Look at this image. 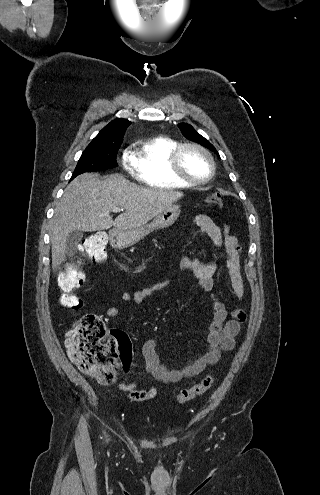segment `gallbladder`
<instances>
[{
	"mask_svg": "<svg viewBox=\"0 0 320 495\" xmlns=\"http://www.w3.org/2000/svg\"><path fill=\"white\" fill-rule=\"evenodd\" d=\"M82 238H83V233L80 230H75L69 233L66 240V249H67V254L69 256L75 254L77 244L81 241Z\"/></svg>",
	"mask_w": 320,
	"mask_h": 495,
	"instance_id": "gallbladder-1",
	"label": "gallbladder"
}]
</instances>
